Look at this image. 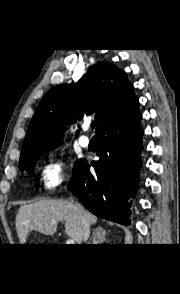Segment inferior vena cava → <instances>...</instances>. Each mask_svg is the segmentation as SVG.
Segmentation results:
<instances>
[{"mask_svg":"<svg viewBox=\"0 0 180 294\" xmlns=\"http://www.w3.org/2000/svg\"><path fill=\"white\" fill-rule=\"evenodd\" d=\"M77 208L79 209L82 217V232H83V240L86 242L90 235V223L88 220V217L83 212V209L81 206L77 205Z\"/></svg>","mask_w":180,"mask_h":294,"instance_id":"inferior-vena-cava-1","label":"inferior vena cava"}]
</instances>
